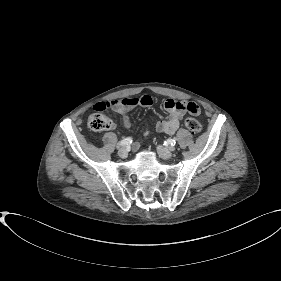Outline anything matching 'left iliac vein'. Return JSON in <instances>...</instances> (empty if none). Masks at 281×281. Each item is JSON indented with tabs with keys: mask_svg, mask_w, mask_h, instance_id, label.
Returning <instances> with one entry per match:
<instances>
[{
	"mask_svg": "<svg viewBox=\"0 0 281 281\" xmlns=\"http://www.w3.org/2000/svg\"><path fill=\"white\" fill-rule=\"evenodd\" d=\"M173 151L174 148L170 147V148H166L162 145H158L157 146V152L159 154V156L163 159H170L173 156Z\"/></svg>",
	"mask_w": 281,
	"mask_h": 281,
	"instance_id": "obj_1",
	"label": "left iliac vein"
}]
</instances>
